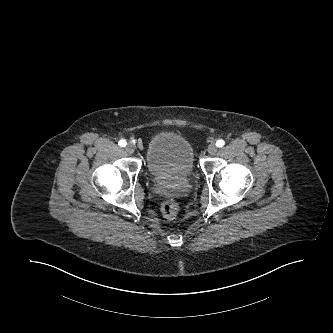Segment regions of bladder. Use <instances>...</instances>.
<instances>
[{
  "mask_svg": "<svg viewBox=\"0 0 333 333\" xmlns=\"http://www.w3.org/2000/svg\"><path fill=\"white\" fill-rule=\"evenodd\" d=\"M146 166L154 179L190 178L195 167L192 146L177 133H157L148 143Z\"/></svg>",
  "mask_w": 333,
  "mask_h": 333,
  "instance_id": "bladder-1",
  "label": "bladder"
}]
</instances>
